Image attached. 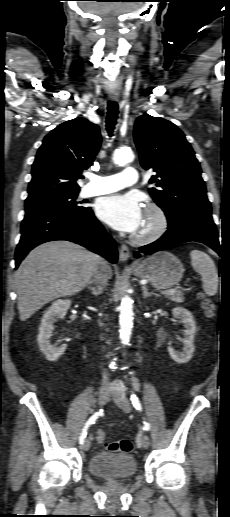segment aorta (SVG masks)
I'll list each match as a JSON object with an SVG mask.
<instances>
[{
    "label": "aorta",
    "instance_id": "1",
    "mask_svg": "<svg viewBox=\"0 0 230 517\" xmlns=\"http://www.w3.org/2000/svg\"><path fill=\"white\" fill-rule=\"evenodd\" d=\"M133 158L134 154L131 149H117L113 153L114 163L120 166L131 162ZM119 310L120 339L123 344H128L133 327V301L129 296L126 295L122 298Z\"/></svg>",
    "mask_w": 230,
    "mask_h": 517
}]
</instances>
